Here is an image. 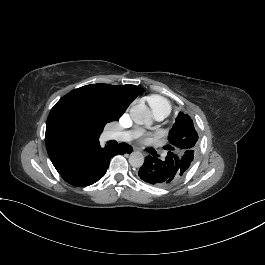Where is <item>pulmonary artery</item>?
Masks as SVG:
<instances>
[{
	"mask_svg": "<svg viewBox=\"0 0 265 265\" xmlns=\"http://www.w3.org/2000/svg\"><path fill=\"white\" fill-rule=\"evenodd\" d=\"M110 134L112 137H116L119 140L126 141V140H131L134 141L137 138L141 137L143 134V131L141 128L136 127L133 130L129 131L128 134H117L115 131H110Z\"/></svg>",
	"mask_w": 265,
	"mask_h": 265,
	"instance_id": "1",
	"label": "pulmonary artery"
}]
</instances>
